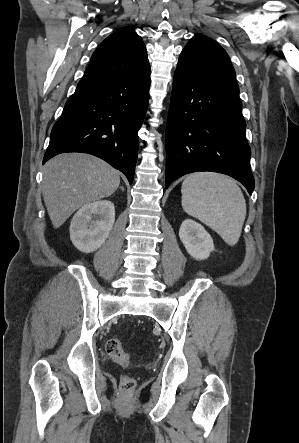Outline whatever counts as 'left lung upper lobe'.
<instances>
[{
	"mask_svg": "<svg viewBox=\"0 0 299 443\" xmlns=\"http://www.w3.org/2000/svg\"><path fill=\"white\" fill-rule=\"evenodd\" d=\"M239 95L235 70L226 51L212 39L196 34L182 50L177 69Z\"/></svg>",
	"mask_w": 299,
	"mask_h": 443,
	"instance_id": "left-lung-upper-lobe-1",
	"label": "left lung upper lobe"
}]
</instances>
